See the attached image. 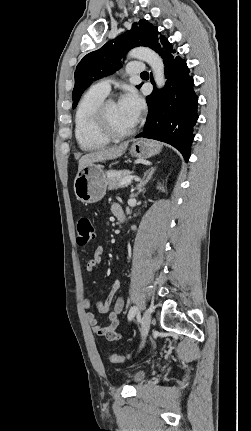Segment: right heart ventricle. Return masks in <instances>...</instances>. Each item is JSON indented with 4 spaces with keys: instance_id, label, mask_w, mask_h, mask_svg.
<instances>
[{
    "instance_id": "1",
    "label": "right heart ventricle",
    "mask_w": 251,
    "mask_h": 431,
    "mask_svg": "<svg viewBox=\"0 0 251 431\" xmlns=\"http://www.w3.org/2000/svg\"><path fill=\"white\" fill-rule=\"evenodd\" d=\"M107 94L89 88L81 97L75 112V138L84 151H93L106 146L110 140L100 135L95 128V113Z\"/></svg>"
}]
</instances>
